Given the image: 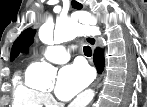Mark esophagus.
Here are the masks:
<instances>
[{"label":"esophagus","mask_w":147,"mask_h":107,"mask_svg":"<svg viewBox=\"0 0 147 107\" xmlns=\"http://www.w3.org/2000/svg\"><path fill=\"white\" fill-rule=\"evenodd\" d=\"M85 41L93 48L95 49L98 45L97 39L92 36H86ZM99 78L96 80V83L98 82Z\"/></svg>","instance_id":"1"}]
</instances>
